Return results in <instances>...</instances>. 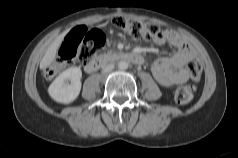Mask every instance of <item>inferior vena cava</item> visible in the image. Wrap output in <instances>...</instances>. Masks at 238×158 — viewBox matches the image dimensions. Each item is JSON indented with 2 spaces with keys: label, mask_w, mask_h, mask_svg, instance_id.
Here are the masks:
<instances>
[{
  "label": "inferior vena cava",
  "mask_w": 238,
  "mask_h": 158,
  "mask_svg": "<svg viewBox=\"0 0 238 158\" xmlns=\"http://www.w3.org/2000/svg\"><path fill=\"white\" fill-rule=\"evenodd\" d=\"M114 69V65L113 64H108L104 67L103 71L105 73L111 72Z\"/></svg>",
  "instance_id": "1"
}]
</instances>
